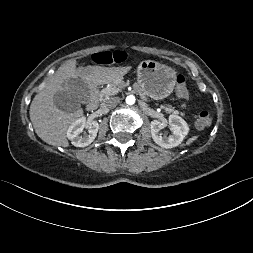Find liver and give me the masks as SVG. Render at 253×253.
Returning a JSON list of instances; mask_svg holds the SVG:
<instances>
[{"label": "liver", "instance_id": "obj_1", "mask_svg": "<svg viewBox=\"0 0 253 253\" xmlns=\"http://www.w3.org/2000/svg\"><path fill=\"white\" fill-rule=\"evenodd\" d=\"M126 72L125 68H107L102 66L76 67L71 60L60 67L47 86L32 100L29 115L36 134L47 144L68 147L66 132L68 127L83 116V109L71 113L59 110L54 105V95L66 88L64 84L72 78H80L89 87L115 83Z\"/></svg>", "mask_w": 253, "mask_h": 253}]
</instances>
